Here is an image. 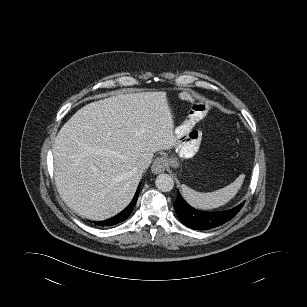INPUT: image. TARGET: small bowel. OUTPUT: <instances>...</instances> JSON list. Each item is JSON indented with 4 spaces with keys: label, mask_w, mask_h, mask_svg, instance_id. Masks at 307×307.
<instances>
[{
    "label": "small bowel",
    "mask_w": 307,
    "mask_h": 307,
    "mask_svg": "<svg viewBox=\"0 0 307 307\" xmlns=\"http://www.w3.org/2000/svg\"><path fill=\"white\" fill-rule=\"evenodd\" d=\"M209 112V106L204 103L195 104L189 115L187 116L185 122L181 125H177L174 128V135L177 138H186L189 134H192L195 131V125L202 118H204Z\"/></svg>",
    "instance_id": "obj_1"
}]
</instances>
